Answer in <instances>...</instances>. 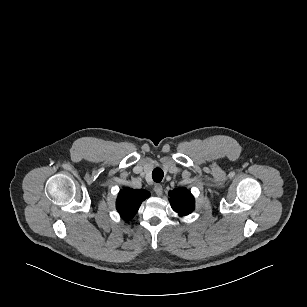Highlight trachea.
<instances>
[{
    "label": "trachea",
    "mask_w": 307,
    "mask_h": 307,
    "mask_svg": "<svg viewBox=\"0 0 307 307\" xmlns=\"http://www.w3.org/2000/svg\"><path fill=\"white\" fill-rule=\"evenodd\" d=\"M163 176H164V172L160 168H155L152 172V178L157 183H159L163 179Z\"/></svg>",
    "instance_id": "obj_1"
}]
</instances>
